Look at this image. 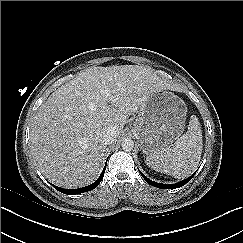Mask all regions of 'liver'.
<instances>
[{
	"mask_svg": "<svg viewBox=\"0 0 243 243\" xmlns=\"http://www.w3.org/2000/svg\"><path fill=\"white\" fill-rule=\"evenodd\" d=\"M160 90L181 89L144 66L89 67L79 72L55 90L34 117L29 146L39 171L64 188L95 181L106 152L102 133L114 128L120 135L128 117L139 114L149 96Z\"/></svg>",
	"mask_w": 243,
	"mask_h": 243,
	"instance_id": "6515ba94",
	"label": "liver"
}]
</instances>
